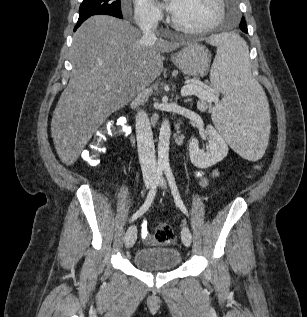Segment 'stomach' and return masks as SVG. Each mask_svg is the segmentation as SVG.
I'll return each mask as SVG.
<instances>
[{
  "mask_svg": "<svg viewBox=\"0 0 307 317\" xmlns=\"http://www.w3.org/2000/svg\"><path fill=\"white\" fill-rule=\"evenodd\" d=\"M173 63L186 75L205 76L209 70L211 55L208 49L198 43H189L171 57Z\"/></svg>",
  "mask_w": 307,
  "mask_h": 317,
  "instance_id": "stomach-1",
  "label": "stomach"
}]
</instances>
